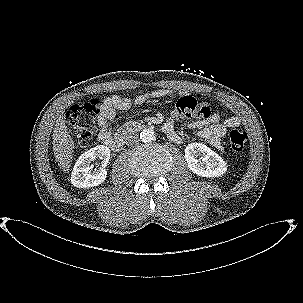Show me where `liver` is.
<instances>
[{
	"instance_id": "6515ba94",
	"label": "liver",
	"mask_w": 303,
	"mask_h": 303,
	"mask_svg": "<svg viewBox=\"0 0 303 303\" xmlns=\"http://www.w3.org/2000/svg\"><path fill=\"white\" fill-rule=\"evenodd\" d=\"M63 109V108H62ZM64 111L60 110L59 117L55 121L53 130V151L58 162V166L64 172L68 171L73 157L74 142L67 131Z\"/></svg>"
}]
</instances>
